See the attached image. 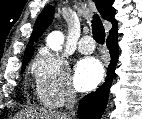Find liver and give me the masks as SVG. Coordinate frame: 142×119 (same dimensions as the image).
Here are the masks:
<instances>
[{
    "label": "liver",
    "instance_id": "obj_1",
    "mask_svg": "<svg viewBox=\"0 0 142 119\" xmlns=\"http://www.w3.org/2000/svg\"><path fill=\"white\" fill-rule=\"evenodd\" d=\"M21 119H68L64 114L45 109H29L19 116Z\"/></svg>",
    "mask_w": 142,
    "mask_h": 119
}]
</instances>
